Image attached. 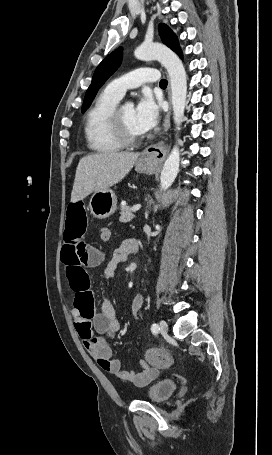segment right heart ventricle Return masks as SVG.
<instances>
[{"label":"right heart ventricle","mask_w":272,"mask_h":455,"mask_svg":"<svg viewBox=\"0 0 272 455\" xmlns=\"http://www.w3.org/2000/svg\"><path fill=\"white\" fill-rule=\"evenodd\" d=\"M120 97L108 88L102 91L85 117L84 134L88 148L99 154L120 151L123 146L113 137L109 127V115L119 103Z\"/></svg>","instance_id":"right-heart-ventricle-1"}]
</instances>
